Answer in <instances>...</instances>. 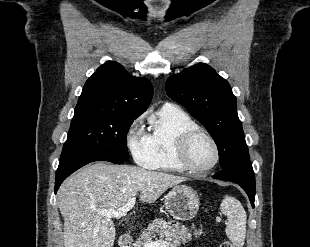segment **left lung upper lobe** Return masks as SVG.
<instances>
[{"label":"left lung upper lobe","instance_id":"obj_1","mask_svg":"<svg viewBox=\"0 0 310 247\" xmlns=\"http://www.w3.org/2000/svg\"><path fill=\"white\" fill-rule=\"evenodd\" d=\"M166 92L207 128L217 144L222 170L250 162L236 97L214 69L199 63L172 75Z\"/></svg>","mask_w":310,"mask_h":247}]
</instances>
